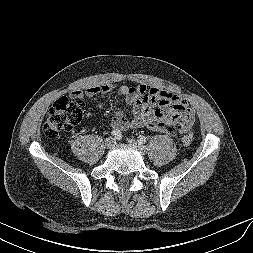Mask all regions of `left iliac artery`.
<instances>
[{"label": "left iliac artery", "mask_w": 253, "mask_h": 253, "mask_svg": "<svg viewBox=\"0 0 253 253\" xmlns=\"http://www.w3.org/2000/svg\"><path fill=\"white\" fill-rule=\"evenodd\" d=\"M140 144H145L147 142V139L145 136L140 135L137 140Z\"/></svg>", "instance_id": "obj_1"}]
</instances>
